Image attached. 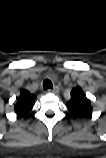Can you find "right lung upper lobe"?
Here are the masks:
<instances>
[{"mask_svg": "<svg viewBox=\"0 0 106 158\" xmlns=\"http://www.w3.org/2000/svg\"><path fill=\"white\" fill-rule=\"evenodd\" d=\"M34 102H35V95L31 94L27 90H22L14 106V110L17 116L18 117L25 116L33 108Z\"/></svg>", "mask_w": 106, "mask_h": 158, "instance_id": "obj_1", "label": "right lung upper lobe"}]
</instances>
